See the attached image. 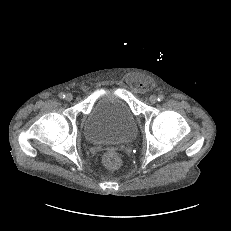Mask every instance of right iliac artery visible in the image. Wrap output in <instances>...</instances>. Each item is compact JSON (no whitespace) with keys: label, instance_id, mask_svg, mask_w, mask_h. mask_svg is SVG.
Segmentation results:
<instances>
[{"label":"right iliac artery","instance_id":"right-iliac-artery-1","mask_svg":"<svg viewBox=\"0 0 231 231\" xmlns=\"http://www.w3.org/2000/svg\"><path fill=\"white\" fill-rule=\"evenodd\" d=\"M59 97H60L61 99H64V98H65V94H64V93H60V94H59Z\"/></svg>","mask_w":231,"mask_h":231}]
</instances>
